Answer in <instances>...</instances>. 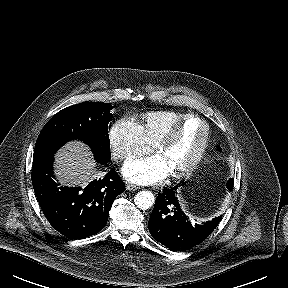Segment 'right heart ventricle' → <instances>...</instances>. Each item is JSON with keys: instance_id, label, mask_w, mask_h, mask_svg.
<instances>
[{"instance_id": "1", "label": "right heart ventricle", "mask_w": 288, "mask_h": 288, "mask_svg": "<svg viewBox=\"0 0 288 288\" xmlns=\"http://www.w3.org/2000/svg\"><path fill=\"white\" fill-rule=\"evenodd\" d=\"M190 115L175 110L150 111L139 117L138 125L144 139L151 146L173 124Z\"/></svg>"}]
</instances>
